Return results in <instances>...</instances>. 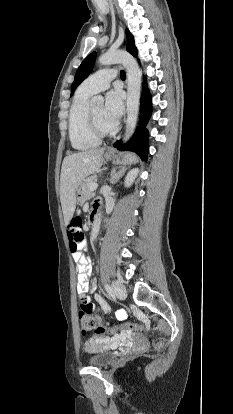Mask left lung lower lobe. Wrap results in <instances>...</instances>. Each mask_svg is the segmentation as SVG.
<instances>
[{
  "mask_svg": "<svg viewBox=\"0 0 233 414\" xmlns=\"http://www.w3.org/2000/svg\"><path fill=\"white\" fill-rule=\"evenodd\" d=\"M152 105L151 96L149 90L144 84L143 97L141 98V116H140V127L136 130L134 136L126 144H122V141H116L114 146L121 151H132L135 152L144 161L147 160L149 151L148 146V131L145 128L147 121L151 115Z\"/></svg>",
  "mask_w": 233,
  "mask_h": 414,
  "instance_id": "left-lung-lower-lobe-1",
  "label": "left lung lower lobe"
}]
</instances>
